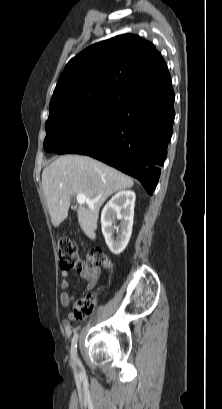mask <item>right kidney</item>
Masks as SVG:
<instances>
[{
  "label": "right kidney",
  "instance_id": "right-kidney-1",
  "mask_svg": "<svg viewBox=\"0 0 222 409\" xmlns=\"http://www.w3.org/2000/svg\"><path fill=\"white\" fill-rule=\"evenodd\" d=\"M135 198L133 191H120L109 200L101 213L102 233L115 255L122 253L130 240ZM116 220H120L118 226Z\"/></svg>",
  "mask_w": 222,
  "mask_h": 409
}]
</instances>
